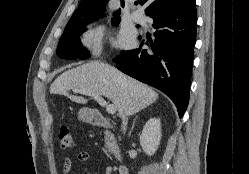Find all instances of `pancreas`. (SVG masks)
<instances>
[{"label": "pancreas", "instance_id": "obj_1", "mask_svg": "<svg viewBox=\"0 0 249 174\" xmlns=\"http://www.w3.org/2000/svg\"><path fill=\"white\" fill-rule=\"evenodd\" d=\"M105 148H106V151H107V152L115 153V152H116V149H117V146L114 145V147H111L110 144H106Z\"/></svg>", "mask_w": 249, "mask_h": 174}]
</instances>
